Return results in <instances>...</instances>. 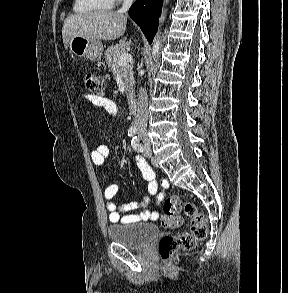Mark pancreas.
Returning <instances> with one entry per match:
<instances>
[{
    "label": "pancreas",
    "instance_id": "cf45deb5",
    "mask_svg": "<svg viewBox=\"0 0 288 293\" xmlns=\"http://www.w3.org/2000/svg\"><path fill=\"white\" fill-rule=\"evenodd\" d=\"M127 46L124 41H121L119 44L110 46L106 52V61L110 71L116 75L119 73L124 81L125 90L127 99H132L135 94L134 84L135 80L133 77V65L130 63L118 66V58L121 54L126 53Z\"/></svg>",
    "mask_w": 288,
    "mask_h": 293
}]
</instances>
